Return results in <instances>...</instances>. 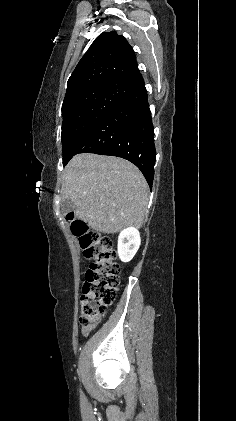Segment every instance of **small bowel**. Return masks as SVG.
<instances>
[{
	"mask_svg": "<svg viewBox=\"0 0 236 421\" xmlns=\"http://www.w3.org/2000/svg\"><path fill=\"white\" fill-rule=\"evenodd\" d=\"M84 333L86 334L87 333V330H84Z\"/></svg>",
	"mask_w": 236,
	"mask_h": 421,
	"instance_id": "small-bowel-1",
	"label": "small bowel"
}]
</instances>
